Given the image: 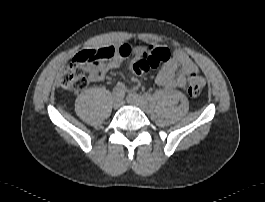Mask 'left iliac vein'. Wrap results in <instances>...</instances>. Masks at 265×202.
I'll use <instances>...</instances> for the list:
<instances>
[{
	"label": "left iliac vein",
	"mask_w": 265,
	"mask_h": 202,
	"mask_svg": "<svg viewBox=\"0 0 265 202\" xmlns=\"http://www.w3.org/2000/svg\"><path fill=\"white\" fill-rule=\"evenodd\" d=\"M126 101L130 105L137 107L143 111L147 110L148 106H149L147 100L144 97H142L141 95L134 93V92L128 93V95L126 97Z\"/></svg>",
	"instance_id": "left-iliac-vein-1"
}]
</instances>
